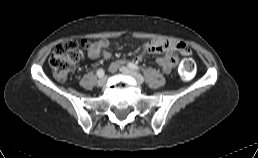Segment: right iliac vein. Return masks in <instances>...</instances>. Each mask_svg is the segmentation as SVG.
Segmentation results:
<instances>
[{"instance_id":"1","label":"right iliac vein","mask_w":258,"mask_h":158,"mask_svg":"<svg viewBox=\"0 0 258 158\" xmlns=\"http://www.w3.org/2000/svg\"><path fill=\"white\" fill-rule=\"evenodd\" d=\"M106 80H107L106 76L100 77L97 82L98 86H103L106 83Z\"/></svg>"}]
</instances>
